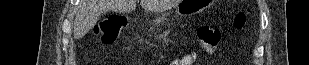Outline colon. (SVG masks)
Instances as JSON below:
<instances>
[{"label":"colon","mask_w":309,"mask_h":65,"mask_svg":"<svg viewBox=\"0 0 309 65\" xmlns=\"http://www.w3.org/2000/svg\"><path fill=\"white\" fill-rule=\"evenodd\" d=\"M246 24V15L239 13L234 18L236 29H242ZM128 20L123 15H109L103 18L96 27V34L100 36L103 44L111 45L115 43L120 33L127 27ZM197 40L200 47L207 53L213 52L221 40V31L212 25H201L197 29ZM197 57L195 54L186 55L172 65H195Z\"/></svg>","instance_id":"colon-1"}]
</instances>
